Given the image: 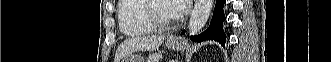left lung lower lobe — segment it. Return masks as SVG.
I'll list each match as a JSON object with an SVG mask.
<instances>
[{
    "mask_svg": "<svg viewBox=\"0 0 331 62\" xmlns=\"http://www.w3.org/2000/svg\"><path fill=\"white\" fill-rule=\"evenodd\" d=\"M225 1L226 0H216V5L210 26L202 34L198 36H191V40L197 42L205 40H215L221 45H225L226 36L222 28V24L225 21V15L223 12V5ZM182 34H185V30L182 31Z\"/></svg>",
    "mask_w": 331,
    "mask_h": 62,
    "instance_id": "1",
    "label": "left lung lower lobe"
}]
</instances>
